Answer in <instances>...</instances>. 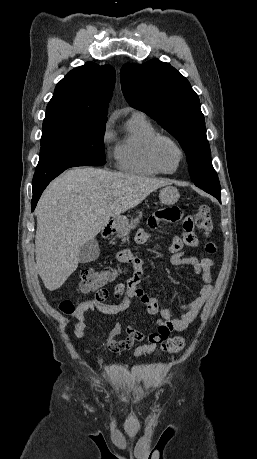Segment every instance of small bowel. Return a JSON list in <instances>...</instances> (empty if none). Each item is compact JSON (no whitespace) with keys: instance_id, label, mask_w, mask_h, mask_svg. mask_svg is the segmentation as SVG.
Segmentation results:
<instances>
[{"instance_id":"1","label":"small bowel","mask_w":257,"mask_h":459,"mask_svg":"<svg viewBox=\"0 0 257 459\" xmlns=\"http://www.w3.org/2000/svg\"><path fill=\"white\" fill-rule=\"evenodd\" d=\"M188 205H156L154 213H147L146 226H175L176 222H183L182 232H177L171 237V244L166 250L167 257H170L172 265L177 267H189L192 276H200L204 285L194 291V298L182 305L179 309L181 314L174 318L169 308L161 305L160 300L149 295L139 286L142 272V265L152 261V252L132 249L131 246H122L117 250V264H133V274L126 283H117L114 287V294L120 299L119 303H106L95 297L80 302L71 314V318L77 321L74 328L76 339L84 337L85 332L90 328L87 323V316L91 312H99L104 315H116L127 310L133 299H139L150 315H158L160 318L154 322L156 330L145 335L136 328L134 322L126 327L117 323L112 329L106 347L111 352H121L133 348L136 342H143L133 352V357L140 358L154 353L157 346L165 342L173 331L185 330L199 315L202 307L212 292V269L213 260L209 257L214 252L212 244H207L200 258L186 256L184 247H197L198 240L195 233V223ZM132 237L133 244H150L151 237L146 227H136ZM125 331L126 337H119ZM85 353L94 356L95 353L89 348L84 349Z\"/></svg>"}]
</instances>
